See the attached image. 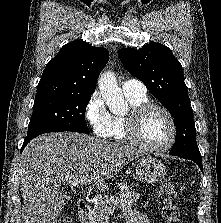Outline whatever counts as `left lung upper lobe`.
Instances as JSON below:
<instances>
[{"label":"left lung upper lobe","instance_id":"1","mask_svg":"<svg viewBox=\"0 0 221 223\" xmlns=\"http://www.w3.org/2000/svg\"><path fill=\"white\" fill-rule=\"evenodd\" d=\"M118 57L174 117L176 140L170 154L200 155L182 66L171 50L163 44L150 43L139 50L123 48Z\"/></svg>","mask_w":221,"mask_h":223}]
</instances>
